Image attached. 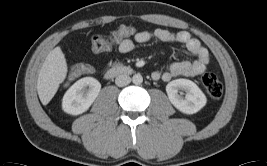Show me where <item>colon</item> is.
<instances>
[{
  "label": "colon",
  "mask_w": 267,
  "mask_h": 166,
  "mask_svg": "<svg viewBox=\"0 0 267 166\" xmlns=\"http://www.w3.org/2000/svg\"><path fill=\"white\" fill-rule=\"evenodd\" d=\"M133 28L130 25H114L111 28V36L109 38H103L100 36L92 37L90 41L91 49L95 52H104L112 48L114 43H121L124 38H130L133 35ZM92 71V68L87 65H79L74 70L75 75L88 74ZM202 84L206 89L208 95L213 100H219L223 95V85L218 77L212 72H204L201 77Z\"/></svg>",
  "instance_id": "colon-1"
}]
</instances>
